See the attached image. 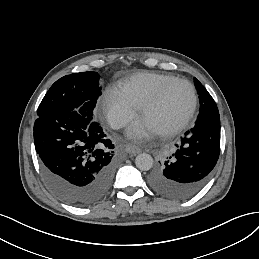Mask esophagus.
<instances>
[{
    "label": "esophagus",
    "instance_id": "obj_1",
    "mask_svg": "<svg viewBox=\"0 0 259 259\" xmlns=\"http://www.w3.org/2000/svg\"><path fill=\"white\" fill-rule=\"evenodd\" d=\"M126 151H127L129 154H138V153L141 152V149L138 148V147H136V146H134V145L128 144V145L126 146Z\"/></svg>",
    "mask_w": 259,
    "mask_h": 259
}]
</instances>
